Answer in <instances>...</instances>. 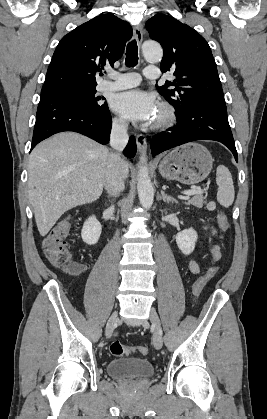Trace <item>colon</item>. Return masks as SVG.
I'll return each mask as SVG.
<instances>
[{
	"mask_svg": "<svg viewBox=\"0 0 267 419\" xmlns=\"http://www.w3.org/2000/svg\"><path fill=\"white\" fill-rule=\"evenodd\" d=\"M218 226L221 231H226L228 228V219L225 213L219 212L217 215ZM71 218L65 217L59 220L56 225L49 231L43 241V250L48 260L57 268L71 274H76L80 271V265L75 261L72 252L69 250L66 237L71 228ZM216 273L215 267H210L208 270L199 277L193 284L192 292L197 298L203 287ZM109 351L113 356L129 355L137 352L141 355L148 353V347L140 345L137 347H125L120 341L114 340L110 346Z\"/></svg>",
	"mask_w": 267,
	"mask_h": 419,
	"instance_id": "5ec220e1",
	"label": "colon"
}]
</instances>
